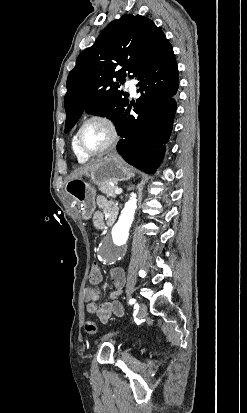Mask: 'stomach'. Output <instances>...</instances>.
<instances>
[{
	"label": "stomach",
	"instance_id": "stomach-1",
	"mask_svg": "<svg viewBox=\"0 0 247 413\" xmlns=\"http://www.w3.org/2000/svg\"><path fill=\"white\" fill-rule=\"evenodd\" d=\"M131 176H134L133 168L122 162L119 156H103L92 170L85 172L80 178L68 180L65 192L76 200L82 219L87 221L96 209V190L93 184H109L117 180H128Z\"/></svg>",
	"mask_w": 247,
	"mask_h": 413
}]
</instances>
